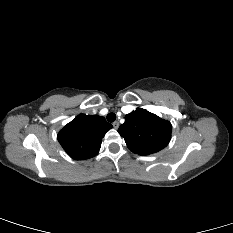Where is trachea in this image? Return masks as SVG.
Returning a JSON list of instances; mask_svg holds the SVG:
<instances>
[{
  "label": "trachea",
  "instance_id": "3493384b",
  "mask_svg": "<svg viewBox=\"0 0 233 233\" xmlns=\"http://www.w3.org/2000/svg\"><path fill=\"white\" fill-rule=\"evenodd\" d=\"M107 120H108L109 122H114V121L116 120V114H115V113H109V114L107 115Z\"/></svg>",
  "mask_w": 233,
  "mask_h": 233
}]
</instances>
